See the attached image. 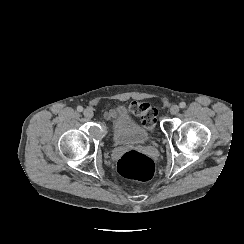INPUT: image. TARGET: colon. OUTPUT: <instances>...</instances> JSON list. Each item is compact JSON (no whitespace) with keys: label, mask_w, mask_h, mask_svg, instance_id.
<instances>
[{"label":"colon","mask_w":244,"mask_h":244,"mask_svg":"<svg viewBox=\"0 0 244 244\" xmlns=\"http://www.w3.org/2000/svg\"><path fill=\"white\" fill-rule=\"evenodd\" d=\"M128 111L141 117L142 125L149 134L155 133L157 118L155 110L148 109L147 104L144 102H134L129 106ZM118 170L125 178L147 182L154 176L155 164L147 155L129 151L119 159Z\"/></svg>","instance_id":"1"}]
</instances>
